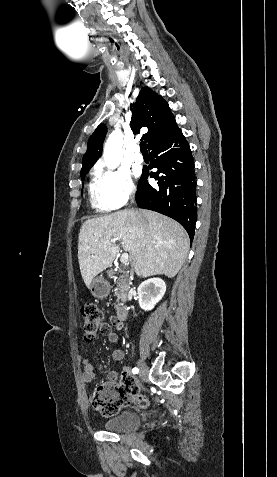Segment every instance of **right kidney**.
I'll return each mask as SVG.
<instances>
[{
  "label": "right kidney",
  "mask_w": 277,
  "mask_h": 477,
  "mask_svg": "<svg viewBox=\"0 0 277 477\" xmlns=\"http://www.w3.org/2000/svg\"><path fill=\"white\" fill-rule=\"evenodd\" d=\"M166 291V284L160 278H150L142 282L138 287V299L140 307L149 311L162 299Z\"/></svg>",
  "instance_id": "ca27d5eb"
}]
</instances>
